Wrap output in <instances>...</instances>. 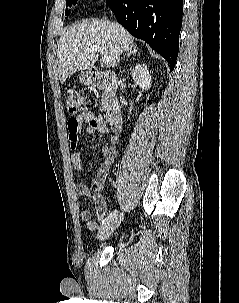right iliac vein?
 <instances>
[{"instance_id":"63e3f726","label":"right iliac vein","mask_w":239,"mask_h":303,"mask_svg":"<svg viewBox=\"0 0 239 303\" xmlns=\"http://www.w3.org/2000/svg\"><path fill=\"white\" fill-rule=\"evenodd\" d=\"M123 219V216H119L118 218L114 219L113 221L109 222L108 224L102 226L97 234V238L99 240H105L107 239L119 226Z\"/></svg>"}]
</instances>
